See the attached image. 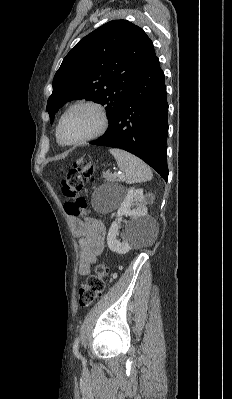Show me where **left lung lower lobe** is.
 I'll use <instances>...</instances> for the list:
<instances>
[{
    "label": "left lung lower lobe",
    "instance_id": "obj_1",
    "mask_svg": "<svg viewBox=\"0 0 232 399\" xmlns=\"http://www.w3.org/2000/svg\"><path fill=\"white\" fill-rule=\"evenodd\" d=\"M167 135L168 103L164 73L152 43L111 127L90 144L128 151L167 181Z\"/></svg>",
    "mask_w": 232,
    "mask_h": 399
}]
</instances>
